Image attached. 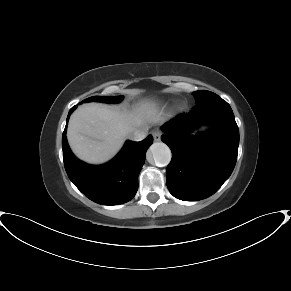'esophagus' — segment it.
Listing matches in <instances>:
<instances>
[{"label":"esophagus","instance_id":"1","mask_svg":"<svg viewBox=\"0 0 291 291\" xmlns=\"http://www.w3.org/2000/svg\"><path fill=\"white\" fill-rule=\"evenodd\" d=\"M152 136L154 138V141H159L161 138V133L158 130H153L152 131Z\"/></svg>","mask_w":291,"mask_h":291}]
</instances>
